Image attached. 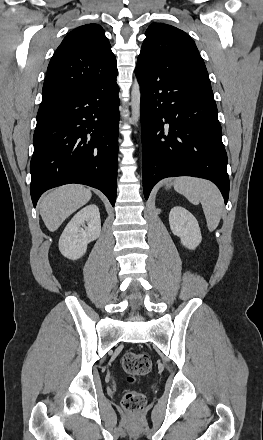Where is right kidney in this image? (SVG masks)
Segmentation results:
<instances>
[{"label": "right kidney", "mask_w": 263, "mask_h": 440, "mask_svg": "<svg viewBox=\"0 0 263 440\" xmlns=\"http://www.w3.org/2000/svg\"><path fill=\"white\" fill-rule=\"evenodd\" d=\"M100 233L99 208L90 204L76 213L67 224L59 239V250L68 259H79L86 253L87 245L96 240Z\"/></svg>", "instance_id": "right-kidney-1"}]
</instances>
